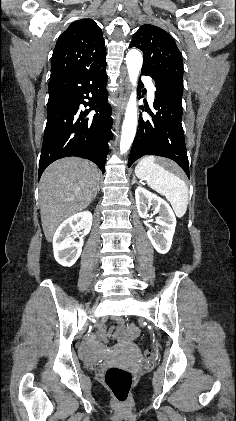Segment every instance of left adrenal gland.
Instances as JSON below:
<instances>
[{"instance_id":"1","label":"left adrenal gland","mask_w":236,"mask_h":421,"mask_svg":"<svg viewBox=\"0 0 236 421\" xmlns=\"http://www.w3.org/2000/svg\"><path fill=\"white\" fill-rule=\"evenodd\" d=\"M132 176H133V180H132L131 184H134V182H137V180L135 178V174H132Z\"/></svg>"}]
</instances>
